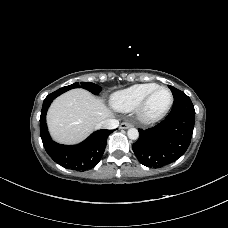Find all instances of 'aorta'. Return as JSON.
Segmentation results:
<instances>
[{
  "instance_id": "obj_1",
  "label": "aorta",
  "mask_w": 228,
  "mask_h": 228,
  "mask_svg": "<svg viewBox=\"0 0 228 228\" xmlns=\"http://www.w3.org/2000/svg\"><path fill=\"white\" fill-rule=\"evenodd\" d=\"M129 139L136 140L139 137V132L136 128H130L127 132Z\"/></svg>"
}]
</instances>
